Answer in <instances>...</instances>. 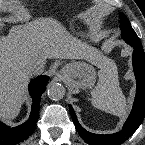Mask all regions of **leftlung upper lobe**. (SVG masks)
I'll return each mask as SVG.
<instances>
[{"mask_svg":"<svg viewBox=\"0 0 145 145\" xmlns=\"http://www.w3.org/2000/svg\"><path fill=\"white\" fill-rule=\"evenodd\" d=\"M119 16L121 18V29L124 40L130 44L140 45L141 42L135 31L132 29L128 18L123 13H120Z\"/></svg>","mask_w":145,"mask_h":145,"instance_id":"1","label":"left lung upper lobe"}]
</instances>
